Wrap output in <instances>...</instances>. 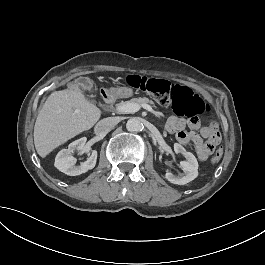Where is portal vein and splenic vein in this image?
<instances>
[{
	"instance_id": "portal-vein-and-splenic-vein-1",
	"label": "portal vein and splenic vein",
	"mask_w": 265,
	"mask_h": 265,
	"mask_svg": "<svg viewBox=\"0 0 265 265\" xmlns=\"http://www.w3.org/2000/svg\"><path fill=\"white\" fill-rule=\"evenodd\" d=\"M140 107L141 106L138 105V104H134V103L127 102L126 104H122V105L118 106L117 107V110L119 112H124V113H135V112H137V111L140 110ZM142 107L144 109L150 111V112L152 111L151 106L148 105V104H144V105H142Z\"/></svg>"
}]
</instances>
